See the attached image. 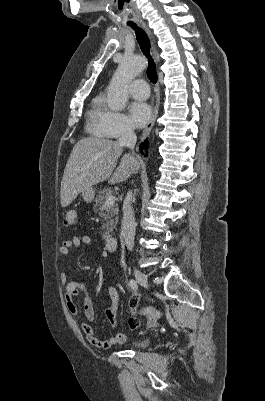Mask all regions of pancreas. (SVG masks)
Wrapping results in <instances>:
<instances>
[{"mask_svg": "<svg viewBox=\"0 0 265 401\" xmlns=\"http://www.w3.org/2000/svg\"><path fill=\"white\" fill-rule=\"evenodd\" d=\"M113 194V190H111L110 186H107V188H102V190H98V194L95 198V205H93L94 213L97 215V213H103V207L105 205V201L107 196H111ZM118 207L117 205H111L109 207L108 211H105V215H103V221L105 223H102V231H100V235H102V239H108L110 237L109 233L116 227V223L118 221ZM115 217V219H113Z\"/></svg>", "mask_w": 265, "mask_h": 401, "instance_id": "obj_1", "label": "pancreas"}]
</instances>
